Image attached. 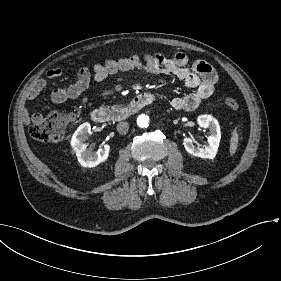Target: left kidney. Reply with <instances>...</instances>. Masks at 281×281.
<instances>
[{"instance_id": "5707ae66", "label": "left kidney", "mask_w": 281, "mask_h": 281, "mask_svg": "<svg viewBox=\"0 0 281 281\" xmlns=\"http://www.w3.org/2000/svg\"><path fill=\"white\" fill-rule=\"evenodd\" d=\"M197 123L200 127L209 129L210 136L208 137V144L204 148H201L199 146H195L191 138H184L183 145L186 151L193 156L213 159L217 154L219 142L221 139L219 123L211 115L198 116Z\"/></svg>"}]
</instances>
